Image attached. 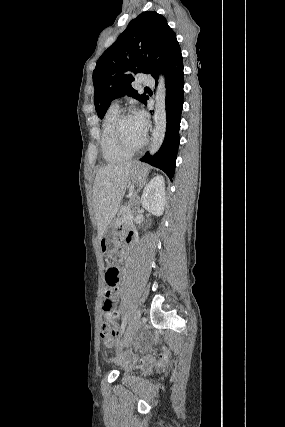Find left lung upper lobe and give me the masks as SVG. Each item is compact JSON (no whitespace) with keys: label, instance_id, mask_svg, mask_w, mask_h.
<instances>
[{"label":"left lung upper lobe","instance_id":"1","mask_svg":"<svg viewBox=\"0 0 285 427\" xmlns=\"http://www.w3.org/2000/svg\"><path fill=\"white\" fill-rule=\"evenodd\" d=\"M181 52L175 32L155 11L142 12L98 59L93 72L94 104L102 119L115 98L128 95L146 104L131 86L137 73L157 78Z\"/></svg>","mask_w":285,"mask_h":427}]
</instances>
